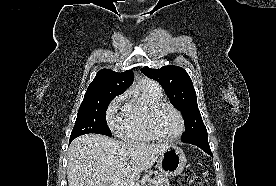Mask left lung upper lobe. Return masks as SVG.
<instances>
[{"instance_id":"1","label":"left lung upper lobe","mask_w":276,"mask_h":186,"mask_svg":"<svg viewBox=\"0 0 276 186\" xmlns=\"http://www.w3.org/2000/svg\"><path fill=\"white\" fill-rule=\"evenodd\" d=\"M142 73L161 84L172 104L182 112L185 133L181 140L207 137L197 105L196 92L188 73L179 66L169 65L160 69H141Z\"/></svg>"}]
</instances>
